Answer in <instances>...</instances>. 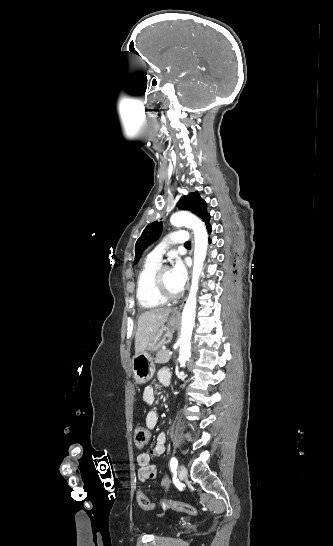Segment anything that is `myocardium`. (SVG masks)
Segmentation results:
<instances>
[{"mask_svg": "<svg viewBox=\"0 0 333 546\" xmlns=\"http://www.w3.org/2000/svg\"><path fill=\"white\" fill-rule=\"evenodd\" d=\"M168 270L167 267L161 266L158 268L153 277V289L155 294L164 301L176 300L180 297V293H170L164 286L163 275Z\"/></svg>", "mask_w": 333, "mask_h": 546, "instance_id": "obj_1", "label": "myocardium"}]
</instances>
